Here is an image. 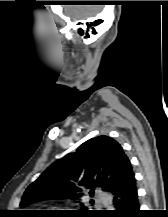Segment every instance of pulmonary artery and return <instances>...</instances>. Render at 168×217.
<instances>
[{
	"label": "pulmonary artery",
	"instance_id": "pulmonary-artery-1",
	"mask_svg": "<svg viewBox=\"0 0 168 217\" xmlns=\"http://www.w3.org/2000/svg\"><path fill=\"white\" fill-rule=\"evenodd\" d=\"M97 197L100 203L104 205L109 204V199L103 193H98Z\"/></svg>",
	"mask_w": 168,
	"mask_h": 217
}]
</instances>
